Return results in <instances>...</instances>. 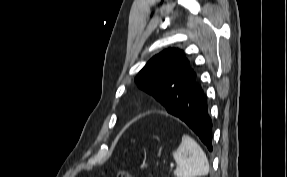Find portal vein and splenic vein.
<instances>
[{
  "label": "portal vein and splenic vein",
  "instance_id": "18ae733b",
  "mask_svg": "<svg viewBox=\"0 0 287 177\" xmlns=\"http://www.w3.org/2000/svg\"><path fill=\"white\" fill-rule=\"evenodd\" d=\"M170 167H171V168H174V164H171Z\"/></svg>",
  "mask_w": 287,
  "mask_h": 177
}]
</instances>
